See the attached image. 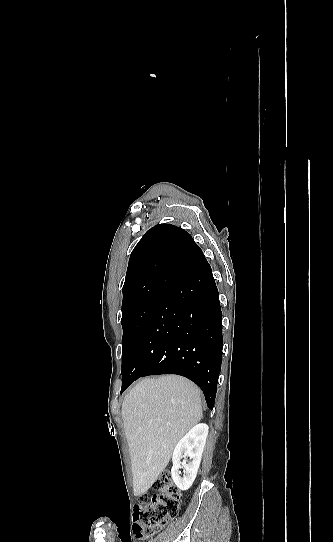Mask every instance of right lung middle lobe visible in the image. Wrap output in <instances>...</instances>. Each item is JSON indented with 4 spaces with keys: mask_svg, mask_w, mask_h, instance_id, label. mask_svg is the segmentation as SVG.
Segmentation results:
<instances>
[{
    "mask_svg": "<svg viewBox=\"0 0 333 542\" xmlns=\"http://www.w3.org/2000/svg\"><path fill=\"white\" fill-rule=\"evenodd\" d=\"M167 293L149 296L141 302L122 309V371L132 361L134 347L150 315Z\"/></svg>",
    "mask_w": 333,
    "mask_h": 542,
    "instance_id": "right-lung-middle-lobe-1",
    "label": "right lung middle lobe"
}]
</instances>
